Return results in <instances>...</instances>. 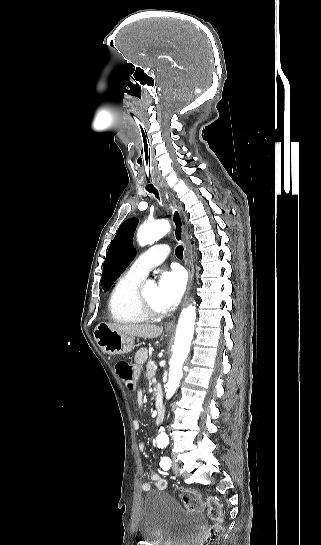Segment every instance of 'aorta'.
Segmentation results:
<instances>
[{
  "instance_id": "obj_1",
  "label": "aorta",
  "mask_w": 321,
  "mask_h": 545,
  "mask_svg": "<svg viewBox=\"0 0 321 545\" xmlns=\"http://www.w3.org/2000/svg\"><path fill=\"white\" fill-rule=\"evenodd\" d=\"M171 229L167 220H157L145 222L140 226L137 232V239L141 246L153 244ZM153 285L152 281L148 282ZM196 320V308L189 305L181 312L176 330L175 343L173 345V354L170 360L169 379L166 388V398L170 399L179 386L182 377V365L190 351L193 339L194 325ZM157 444L167 445L168 435L163 428H160L159 435L156 438Z\"/></svg>"
}]
</instances>
